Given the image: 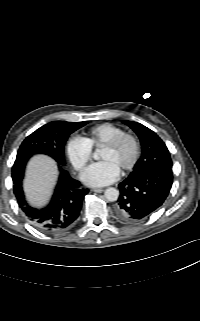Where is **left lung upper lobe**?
Instances as JSON below:
<instances>
[{"label": "left lung upper lobe", "mask_w": 200, "mask_h": 321, "mask_svg": "<svg viewBox=\"0 0 200 321\" xmlns=\"http://www.w3.org/2000/svg\"><path fill=\"white\" fill-rule=\"evenodd\" d=\"M123 123L128 125L138 135L142 146L141 157L133 170L150 167L172 168L169 151L165 143L155 132L137 122L124 121Z\"/></svg>", "instance_id": "obj_1"}]
</instances>
